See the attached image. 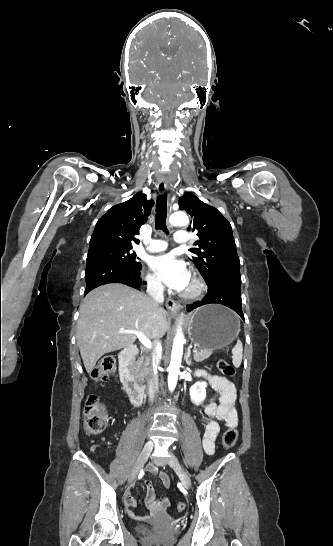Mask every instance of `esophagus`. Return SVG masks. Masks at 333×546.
<instances>
[{
	"instance_id": "esophagus-1",
	"label": "esophagus",
	"mask_w": 333,
	"mask_h": 546,
	"mask_svg": "<svg viewBox=\"0 0 333 546\" xmlns=\"http://www.w3.org/2000/svg\"><path fill=\"white\" fill-rule=\"evenodd\" d=\"M168 189H169V182L166 176H162L157 185L158 194L163 195L166 193ZM166 307L170 315L176 316L179 313L181 305L180 303L168 298L166 300Z\"/></svg>"
}]
</instances>
